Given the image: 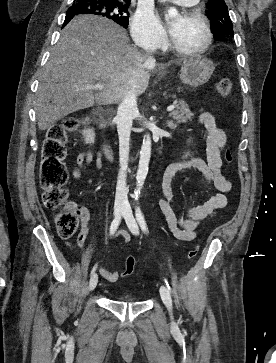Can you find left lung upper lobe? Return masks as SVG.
<instances>
[{
  "mask_svg": "<svg viewBox=\"0 0 276 363\" xmlns=\"http://www.w3.org/2000/svg\"><path fill=\"white\" fill-rule=\"evenodd\" d=\"M206 13L211 20V31L214 38L220 40L223 37L234 35L233 24L224 0H209Z\"/></svg>",
  "mask_w": 276,
  "mask_h": 363,
  "instance_id": "1",
  "label": "left lung upper lobe"
}]
</instances>
